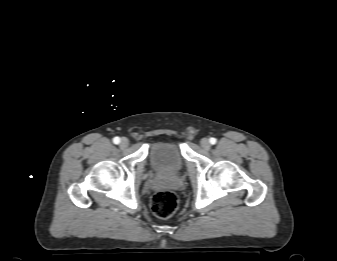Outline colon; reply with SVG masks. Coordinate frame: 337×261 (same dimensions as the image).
<instances>
[{"label":"colon","mask_w":337,"mask_h":261,"mask_svg":"<svg viewBox=\"0 0 337 261\" xmlns=\"http://www.w3.org/2000/svg\"><path fill=\"white\" fill-rule=\"evenodd\" d=\"M179 205V198L173 191L162 190L156 192L151 199V209L159 218H169Z\"/></svg>","instance_id":"colon-1"}]
</instances>
